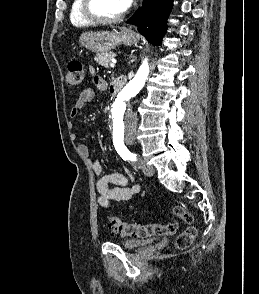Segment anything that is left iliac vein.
<instances>
[{"mask_svg": "<svg viewBox=\"0 0 259 294\" xmlns=\"http://www.w3.org/2000/svg\"><path fill=\"white\" fill-rule=\"evenodd\" d=\"M140 166L146 176L152 177L154 175V168L151 165H147L143 160H141Z\"/></svg>", "mask_w": 259, "mask_h": 294, "instance_id": "1", "label": "left iliac vein"}]
</instances>
